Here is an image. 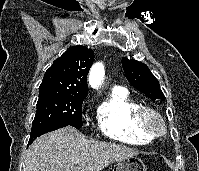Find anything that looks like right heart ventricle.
<instances>
[{
    "instance_id": "right-heart-ventricle-1",
    "label": "right heart ventricle",
    "mask_w": 199,
    "mask_h": 171,
    "mask_svg": "<svg viewBox=\"0 0 199 171\" xmlns=\"http://www.w3.org/2000/svg\"><path fill=\"white\" fill-rule=\"evenodd\" d=\"M142 106L125 88H112L97 111L101 133L127 144H151L155 137L143 130L138 120Z\"/></svg>"
}]
</instances>
